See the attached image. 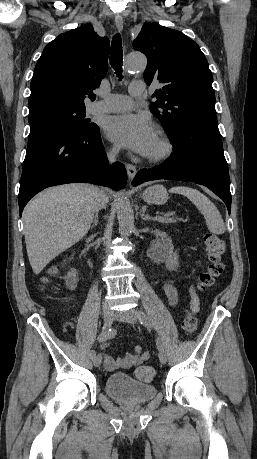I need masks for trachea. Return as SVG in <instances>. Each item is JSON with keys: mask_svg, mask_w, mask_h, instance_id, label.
Returning a JSON list of instances; mask_svg holds the SVG:
<instances>
[{"mask_svg": "<svg viewBox=\"0 0 257 459\" xmlns=\"http://www.w3.org/2000/svg\"><path fill=\"white\" fill-rule=\"evenodd\" d=\"M110 64L115 70L119 80L121 81L122 76V64H123V50L122 40L120 34H115L112 40L111 52H110Z\"/></svg>", "mask_w": 257, "mask_h": 459, "instance_id": "3493384b", "label": "trachea"}]
</instances>
